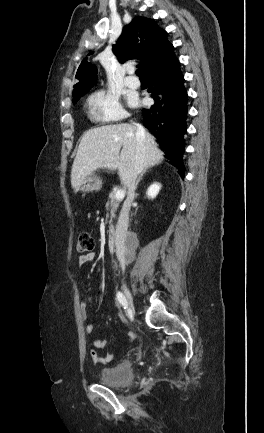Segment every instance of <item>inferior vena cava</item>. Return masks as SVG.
Returning a JSON list of instances; mask_svg holds the SVG:
<instances>
[{"label": "inferior vena cava", "instance_id": "obj_1", "mask_svg": "<svg viewBox=\"0 0 264 433\" xmlns=\"http://www.w3.org/2000/svg\"><path fill=\"white\" fill-rule=\"evenodd\" d=\"M144 136H145V130L143 129V127L136 125V138L138 144L136 164H135L134 172L132 174L130 183L128 185L127 198L124 202L122 211L120 212V217L118 222L119 229L117 230V236H116V257L118 259H123L126 254L124 245L128 236L127 227L129 221V211L135 195L136 178L144 168V162L142 156L143 148H144ZM121 267L122 270L124 271L125 264L123 261H121Z\"/></svg>", "mask_w": 264, "mask_h": 433}]
</instances>
